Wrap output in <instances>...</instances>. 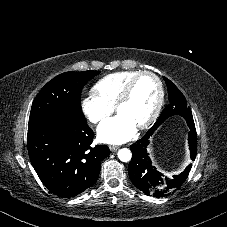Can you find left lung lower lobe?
Returning a JSON list of instances; mask_svg holds the SVG:
<instances>
[{"instance_id":"1","label":"left lung lower lobe","mask_w":227,"mask_h":227,"mask_svg":"<svg viewBox=\"0 0 227 227\" xmlns=\"http://www.w3.org/2000/svg\"><path fill=\"white\" fill-rule=\"evenodd\" d=\"M188 144L191 159L194 160L197 152V134L193 119H188ZM150 135H145L142 139L130 146L132 159L128 166V173L132 183L146 195L154 197L167 196L176 191L187 179L192 165L189 164L179 175H174L173 179L165 177L153 165L147 146L149 145Z\"/></svg>"}]
</instances>
